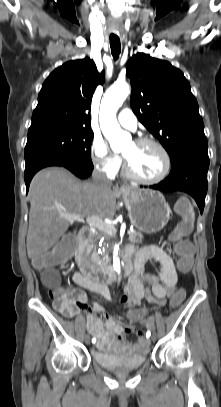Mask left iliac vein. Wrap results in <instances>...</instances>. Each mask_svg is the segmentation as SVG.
<instances>
[{"instance_id":"left-iliac-vein-1","label":"left iliac vein","mask_w":221,"mask_h":407,"mask_svg":"<svg viewBox=\"0 0 221 407\" xmlns=\"http://www.w3.org/2000/svg\"><path fill=\"white\" fill-rule=\"evenodd\" d=\"M152 340H156V334L155 333L152 334ZM147 344H148V340H147Z\"/></svg>"}]
</instances>
